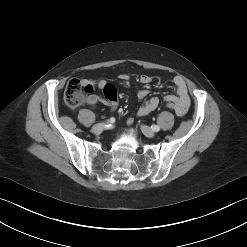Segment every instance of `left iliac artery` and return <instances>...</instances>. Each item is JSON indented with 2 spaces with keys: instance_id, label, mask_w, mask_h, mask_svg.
<instances>
[{
  "instance_id": "1",
  "label": "left iliac artery",
  "mask_w": 247,
  "mask_h": 247,
  "mask_svg": "<svg viewBox=\"0 0 247 247\" xmlns=\"http://www.w3.org/2000/svg\"><path fill=\"white\" fill-rule=\"evenodd\" d=\"M152 130L155 132H158L160 130V127L158 125L151 126Z\"/></svg>"
}]
</instances>
